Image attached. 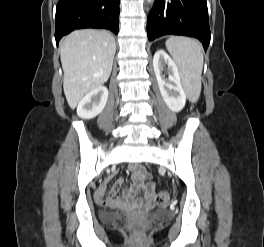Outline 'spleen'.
<instances>
[{"label":"spleen","instance_id":"1","mask_svg":"<svg viewBox=\"0 0 264 247\" xmlns=\"http://www.w3.org/2000/svg\"><path fill=\"white\" fill-rule=\"evenodd\" d=\"M166 47L179 69L187 96L192 102H196L201 93L203 69L200 44L187 37H170L166 41Z\"/></svg>","mask_w":264,"mask_h":247}]
</instances>
